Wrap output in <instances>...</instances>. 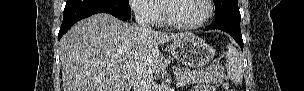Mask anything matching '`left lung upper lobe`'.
<instances>
[{
	"label": "left lung upper lobe",
	"mask_w": 304,
	"mask_h": 91,
	"mask_svg": "<svg viewBox=\"0 0 304 91\" xmlns=\"http://www.w3.org/2000/svg\"><path fill=\"white\" fill-rule=\"evenodd\" d=\"M215 4V19L231 10L238 9V0H213Z\"/></svg>",
	"instance_id": "left-lung-upper-lobe-1"
}]
</instances>
